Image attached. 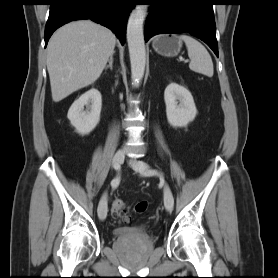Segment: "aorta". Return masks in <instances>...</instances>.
<instances>
[{"label":"aorta","mask_w":278,"mask_h":278,"mask_svg":"<svg viewBox=\"0 0 278 278\" xmlns=\"http://www.w3.org/2000/svg\"><path fill=\"white\" fill-rule=\"evenodd\" d=\"M147 14L146 5H137L131 12L127 23V42L131 63L132 85L137 87L141 82L146 65L143 22Z\"/></svg>","instance_id":"obj_1"}]
</instances>
